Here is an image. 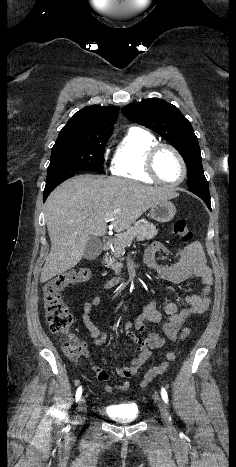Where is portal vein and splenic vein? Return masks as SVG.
<instances>
[{"label": "portal vein and splenic vein", "mask_w": 236, "mask_h": 467, "mask_svg": "<svg viewBox=\"0 0 236 467\" xmlns=\"http://www.w3.org/2000/svg\"><path fill=\"white\" fill-rule=\"evenodd\" d=\"M107 220H108V221H110V220H111V218H108Z\"/></svg>", "instance_id": "1"}]
</instances>
